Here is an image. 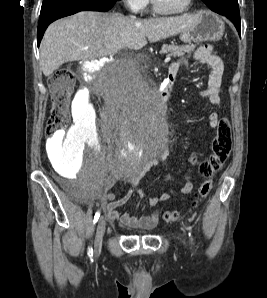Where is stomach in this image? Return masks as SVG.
<instances>
[{"instance_id":"obj_1","label":"stomach","mask_w":267,"mask_h":298,"mask_svg":"<svg viewBox=\"0 0 267 298\" xmlns=\"http://www.w3.org/2000/svg\"><path fill=\"white\" fill-rule=\"evenodd\" d=\"M198 21L189 29L180 32V39L185 43L199 41H217L225 30V23L219 15L202 11L197 14Z\"/></svg>"}]
</instances>
